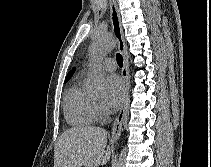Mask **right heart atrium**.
Here are the masks:
<instances>
[{
  "mask_svg": "<svg viewBox=\"0 0 211 167\" xmlns=\"http://www.w3.org/2000/svg\"><path fill=\"white\" fill-rule=\"evenodd\" d=\"M95 108H96V110H97V111H99V110H100L99 106H96Z\"/></svg>",
  "mask_w": 211,
  "mask_h": 167,
  "instance_id": "right-heart-atrium-1",
  "label": "right heart atrium"
}]
</instances>
